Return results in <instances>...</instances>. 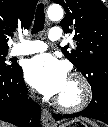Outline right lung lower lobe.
Returning a JSON list of instances; mask_svg holds the SVG:
<instances>
[{
  "instance_id": "right-lung-lower-lobe-1",
  "label": "right lung lower lobe",
  "mask_w": 108,
  "mask_h": 127,
  "mask_svg": "<svg viewBox=\"0 0 108 127\" xmlns=\"http://www.w3.org/2000/svg\"><path fill=\"white\" fill-rule=\"evenodd\" d=\"M41 109L28 98L22 68H0V120L19 127H39Z\"/></svg>"
}]
</instances>
